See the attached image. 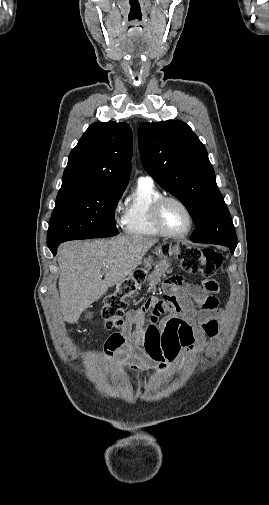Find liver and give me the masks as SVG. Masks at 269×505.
Instances as JSON below:
<instances>
[{
  "instance_id": "6515ba94",
  "label": "liver",
  "mask_w": 269,
  "mask_h": 505,
  "mask_svg": "<svg viewBox=\"0 0 269 505\" xmlns=\"http://www.w3.org/2000/svg\"><path fill=\"white\" fill-rule=\"evenodd\" d=\"M155 243L157 239L136 235L61 244L59 291L65 321L76 323L85 308L134 272Z\"/></svg>"
}]
</instances>
